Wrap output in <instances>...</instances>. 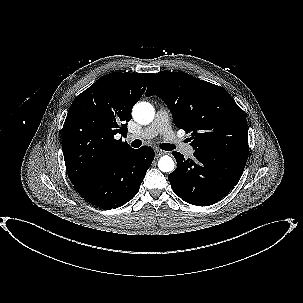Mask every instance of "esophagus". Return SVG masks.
<instances>
[{
	"instance_id": "esophagus-1",
	"label": "esophagus",
	"mask_w": 303,
	"mask_h": 303,
	"mask_svg": "<svg viewBox=\"0 0 303 303\" xmlns=\"http://www.w3.org/2000/svg\"><path fill=\"white\" fill-rule=\"evenodd\" d=\"M165 152L162 151V150H159V149H156L155 150V157L158 158V157H161L162 155H164Z\"/></svg>"
}]
</instances>
